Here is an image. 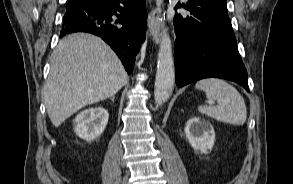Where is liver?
Here are the masks:
<instances>
[{
    "mask_svg": "<svg viewBox=\"0 0 293 184\" xmlns=\"http://www.w3.org/2000/svg\"><path fill=\"white\" fill-rule=\"evenodd\" d=\"M128 75L99 37L73 33L59 41L44 86L48 116L55 127L85 106L114 96Z\"/></svg>",
    "mask_w": 293,
    "mask_h": 184,
    "instance_id": "6515ba94",
    "label": "liver"
}]
</instances>
